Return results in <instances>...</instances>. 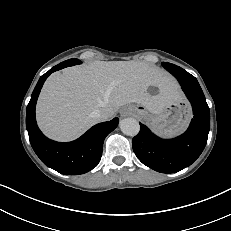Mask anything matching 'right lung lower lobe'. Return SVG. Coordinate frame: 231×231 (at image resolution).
Returning a JSON list of instances; mask_svg holds the SVG:
<instances>
[{"label":"right lung lower lobe","instance_id":"98d812e1","mask_svg":"<svg viewBox=\"0 0 231 231\" xmlns=\"http://www.w3.org/2000/svg\"><path fill=\"white\" fill-rule=\"evenodd\" d=\"M58 64L42 75L31 95L26 112L29 140L37 156L48 167L65 175L84 174L95 168L102 156L105 137L118 125V118L96 124L75 141L59 143L45 137L35 119V106L43 83L54 71L67 67Z\"/></svg>","mask_w":231,"mask_h":231}]
</instances>
